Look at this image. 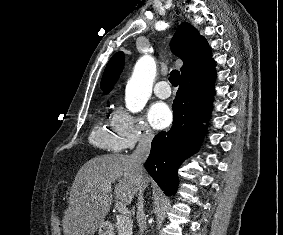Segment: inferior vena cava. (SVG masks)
Wrapping results in <instances>:
<instances>
[{"mask_svg": "<svg viewBox=\"0 0 283 235\" xmlns=\"http://www.w3.org/2000/svg\"><path fill=\"white\" fill-rule=\"evenodd\" d=\"M153 134L151 131L146 130L139 138L138 145L133 153L130 155L131 160L134 162L138 175L144 172V162L149 156ZM143 189L138 188L137 200V223L139 226L140 235H143L147 230L146 217L143 206Z\"/></svg>", "mask_w": 283, "mask_h": 235, "instance_id": "602c4592", "label": "inferior vena cava"}]
</instances>
